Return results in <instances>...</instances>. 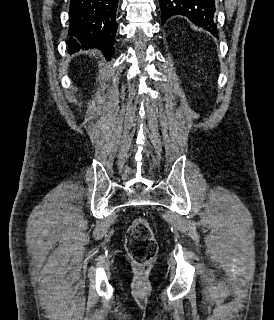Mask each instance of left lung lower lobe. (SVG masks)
I'll return each mask as SVG.
<instances>
[{"label":"left lung lower lobe","instance_id":"obj_1","mask_svg":"<svg viewBox=\"0 0 274 320\" xmlns=\"http://www.w3.org/2000/svg\"><path fill=\"white\" fill-rule=\"evenodd\" d=\"M162 10L161 23L173 15H184L194 24L203 27L212 34H217L214 23V0H159Z\"/></svg>","mask_w":274,"mask_h":320}]
</instances>
